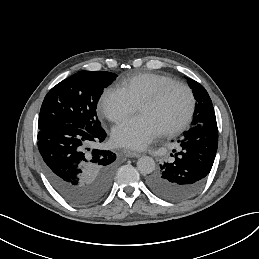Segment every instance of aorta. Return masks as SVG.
Segmentation results:
<instances>
[{
  "instance_id": "obj_1",
  "label": "aorta",
  "mask_w": 259,
  "mask_h": 259,
  "mask_svg": "<svg viewBox=\"0 0 259 259\" xmlns=\"http://www.w3.org/2000/svg\"><path fill=\"white\" fill-rule=\"evenodd\" d=\"M155 161L149 156L140 157L137 161V168L142 174H150L155 170Z\"/></svg>"
}]
</instances>
